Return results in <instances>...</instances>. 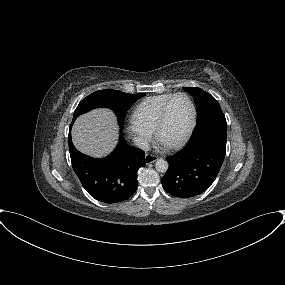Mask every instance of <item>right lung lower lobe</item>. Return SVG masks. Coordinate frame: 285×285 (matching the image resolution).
<instances>
[{
  "mask_svg": "<svg viewBox=\"0 0 285 285\" xmlns=\"http://www.w3.org/2000/svg\"><path fill=\"white\" fill-rule=\"evenodd\" d=\"M69 151L73 169L85 190L95 199L117 203L128 199L137 189L138 169L145 166V153L129 146L120 138L116 149L102 159L91 158L79 152L71 140Z\"/></svg>",
  "mask_w": 285,
  "mask_h": 285,
  "instance_id": "1",
  "label": "right lung lower lobe"
}]
</instances>
